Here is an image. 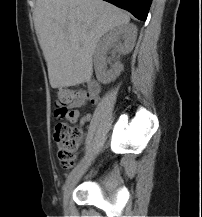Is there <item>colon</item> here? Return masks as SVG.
<instances>
[{
	"label": "colon",
	"instance_id": "obj_1",
	"mask_svg": "<svg viewBox=\"0 0 202 217\" xmlns=\"http://www.w3.org/2000/svg\"><path fill=\"white\" fill-rule=\"evenodd\" d=\"M85 95L68 88L57 90L55 115L59 119L55 125L54 138L57 143V155L64 168L75 164L76 153L83 140V129L70 121L71 108L83 102Z\"/></svg>",
	"mask_w": 202,
	"mask_h": 217
}]
</instances>
